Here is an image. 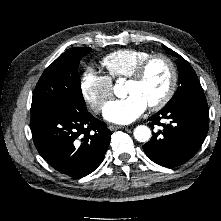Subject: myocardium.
Masks as SVG:
<instances>
[{
    "instance_id": "f54148a6",
    "label": "myocardium",
    "mask_w": 221,
    "mask_h": 221,
    "mask_svg": "<svg viewBox=\"0 0 221 221\" xmlns=\"http://www.w3.org/2000/svg\"><path fill=\"white\" fill-rule=\"evenodd\" d=\"M156 59H161L164 62L167 63L169 69H170V83L168 86L167 91L165 94L155 103L148 105V107L151 110H159L163 108L173 97L177 83H178V71L177 67L174 63V61L167 55L163 53H155L151 54L148 57H146L144 60H142L134 69L132 74L128 77V81L131 82H138L140 81L143 76L145 75V72L148 68V66Z\"/></svg>"
}]
</instances>
